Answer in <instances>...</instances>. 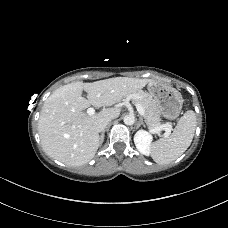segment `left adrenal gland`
<instances>
[{"instance_id": "a2214340", "label": "left adrenal gland", "mask_w": 228, "mask_h": 228, "mask_svg": "<svg viewBox=\"0 0 228 228\" xmlns=\"http://www.w3.org/2000/svg\"><path fill=\"white\" fill-rule=\"evenodd\" d=\"M141 125H143L144 127H146L145 123L143 122L142 117L140 116V117H139V122H138V124H137V127H139V126H141Z\"/></svg>"}]
</instances>
